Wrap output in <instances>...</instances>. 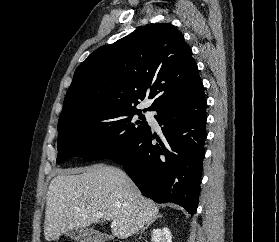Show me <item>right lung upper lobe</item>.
<instances>
[{"label": "right lung upper lobe", "instance_id": "1", "mask_svg": "<svg viewBox=\"0 0 279 242\" xmlns=\"http://www.w3.org/2000/svg\"><path fill=\"white\" fill-rule=\"evenodd\" d=\"M198 67L184 36L157 23L98 48L80 64L64 99L58 124L137 110L146 96L156 109L196 92Z\"/></svg>", "mask_w": 279, "mask_h": 242}]
</instances>
